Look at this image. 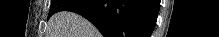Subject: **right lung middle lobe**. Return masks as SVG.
<instances>
[{
  "mask_svg": "<svg viewBox=\"0 0 219 37\" xmlns=\"http://www.w3.org/2000/svg\"><path fill=\"white\" fill-rule=\"evenodd\" d=\"M68 1L65 0H52V4L50 6V12H49V17L52 16L54 13L58 12L59 9L63 4H65Z\"/></svg>",
  "mask_w": 219,
  "mask_h": 37,
  "instance_id": "dd1d6c3e",
  "label": "right lung middle lobe"
}]
</instances>
